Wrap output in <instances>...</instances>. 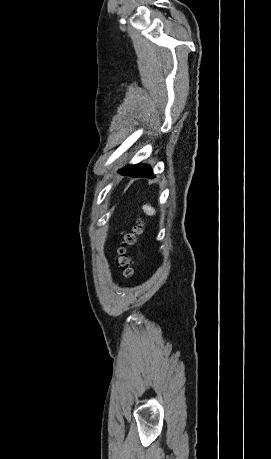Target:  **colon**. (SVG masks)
I'll list each match as a JSON object with an SVG mask.
<instances>
[{
	"label": "colon",
	"instance_id": "1",
	"mask_svg": "<svg viewBox=\"0 0 271 459\" xmlns=\"http://www.w3.org/2000/svg\"><path fill=\"white\" fill-rule=\"evenodd\" d=\"M141 228V222L137 221L131 230L122 235L120 245L116 250L114 264L125 276H131L133 274V262L127 252V247L135 243L136 236L140 233Z\"/></svg>",
	"mask_w": 271,
	"mask_h": 459
}]
</instances>
